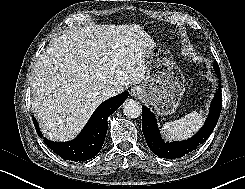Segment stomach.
<instances>
[{
  "label": "stomach",
  "instance_id": "0dacf381",
  "mask_svg": "<svg viewBox=\"0 0 245 189\" xmlns=\"http://www.w3.org/2000/svg\"><path fill=\"white\" fill-rule=\"evenodd\" d=\"M146 74L138 86L139 96L154 106L158 115L176 111L185 92V77L177 66L171 51L156 45L147 50Z\"/></svg>",
  "mask_w": 245,
  "mask_h": 189
}]
</instances>
